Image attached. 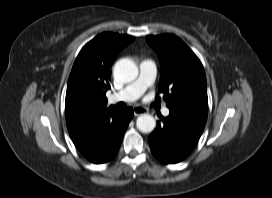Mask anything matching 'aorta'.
Here are the masks:
<instances>
[{"label": "aorta", "mask_w": 272, "mask_h": 198, "mask_svg": "<svg viewBox=\"0 0 272 198\" xmlns=\"http://www.w3.org/2000/svg\"><path fill=\"white\" fill-rule=\"evenodd\" d=\"M114 76L120 81L131 82L138 76V67L130 59H120L116 62L113 70ZM136 126L143 133H150L156 127L155 119L149 114H143L137 118Z\"/></svg>", "instance_id": "762f6f07"}]
</instances>
